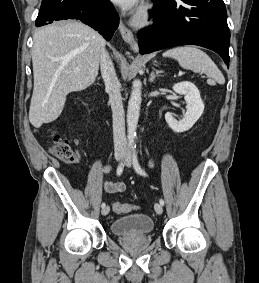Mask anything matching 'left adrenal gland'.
<instances>
[{"instance_id": "a2214340", "label": "left adrenal gland", "mask_w": 259, "mask_h": 283, "mask_svg": "<svg viewBox=\"0 0 259 283\" xmlns=\"http://www.w3.org/2000/svg\"><path fill=\"white\" fill-rule=\"evenodd\" d=\"M158 76H159V75L156 74V70L152 71V72L150 73L149 82H153L154 79H155L156 77H158Z\"/></svg>"}]
</instances>
